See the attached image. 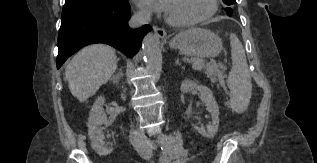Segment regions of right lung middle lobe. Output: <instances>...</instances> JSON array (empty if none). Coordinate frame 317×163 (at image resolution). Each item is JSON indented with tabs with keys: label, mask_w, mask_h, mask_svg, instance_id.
Returning a JSON list of instances; mask_svg holds the SVG:
<instances>
[{
	"label": "right lung middle lobe",
	"mask_w": 317,
	"mask_h": 163,
	"mask_svg": "<svg viewBox=\"0 0 317 163\" xmlns=\"http://www.w3.org/2000/svg\"><path fill=\"white\" fill-rule=\"evenodd\" d=\"M128 0H66L61 19H70L93 10L118 6Z\"/></svg>",
	"instance_id": "right-lung-middle-lobe-1"
}]
</instances>
